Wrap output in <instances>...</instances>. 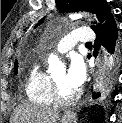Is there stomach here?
Masks as SVG:
<instances>
[{
    "label": "stomach",
    "instance_id": "stomach-1",
    "mask_svg": "<svg viewBox=\"0 0 122 123\" xmlns=\"http://www.w3.org/2000/svg\"><path fill=\"white\" fill-rule=\"evenodd\" d=\"M73 119H74L73 116L64 115V116L60 119V123H72Z\"/></svg>",
    "mask_w": 122,
    "mask_h": 123
}]
</instances>
